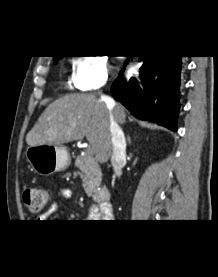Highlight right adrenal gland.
I'll return each mask as SVG.
<instances>
[{
	"label": "right adrenal gland",
	"mask_w": 218,
	"mask_h": 277,
	"mask_svg": "<svg viewBox=\"0 0 218 277\" xmlns=\"http://www.w3.org/2000/svg\"><path fill=\"white\" fill-rule=\"evenodd\" d=\"M127 141H128L129 144L131 143V139H130L129 135L127 136Z\"/></svg>",
	"instance_id": "1"
}]
</instances>
